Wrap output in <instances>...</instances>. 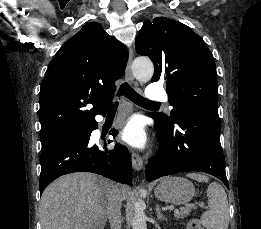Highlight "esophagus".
Here are the masks:
<instances>
[{
	"mask_svg": "<svg viewBox=\"0 0 261 229\" xmlns=\"http://www.w3.org/2000/svg\"><path fill=\"white\" fill-rule=\"evenodd\" d=\"M132 61H133V52H132V49H130L129 50L128 62H127V66H126V71H125V76H126V79L129 82L133 83L134 82V76H133L132 70H131ZM131 161H132L133 168L137 172H140L143 169L144 166H143L142 157L137 152H132Z\"/></svg>",
	"mask_w": 261,
	"mask_h": 229,
	"instance_id": "34e87169",
	"label": "esophagus"
}]
</instances>
